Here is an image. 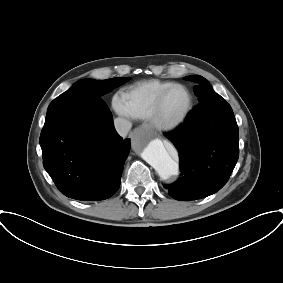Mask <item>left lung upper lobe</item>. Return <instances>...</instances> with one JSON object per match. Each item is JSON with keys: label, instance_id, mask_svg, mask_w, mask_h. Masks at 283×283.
Returning a JSON list of instances; mask_svg holds the SVG:
<instances>
[{"label": "left lung upper lobe", "instance_id": "left-lung-upper-lobe-1", "mask_svg": "<svg viewBox=\"0 0 283 283\" xmlns=\"http://www.w3.org/2000/svg\"><path fill=\"white\" fill-rule=\"evenodd\" d=\"M185 79L191 80L197 84L194 87V91L196 95L199 97L198 100L200 104H203L204 101H210L211 99H214V97L216 96L217 93L213 91L211 85L204 77L200 75H192L185 77ZM221 134L227 136H239L238 126L234 114H232L230 118V123L227 129L224 130Z\"/></svg>", "mask_w": 283, "mask_h": 283}]
</instances>
